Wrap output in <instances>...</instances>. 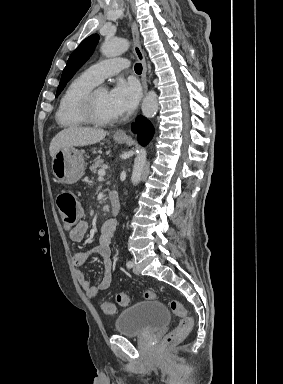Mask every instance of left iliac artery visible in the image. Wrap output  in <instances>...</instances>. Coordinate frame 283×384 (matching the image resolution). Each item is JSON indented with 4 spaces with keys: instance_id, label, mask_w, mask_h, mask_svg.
Returning <instances> with one entry per match:
<instances>
[{
    "instance_id": "44dca946",
    "label": "left iliac artery",
    "mask_w": 283,
    "mask_h": 384,
    "mask_svg": "<svg viewBox=\"0 0 283 384\" xmlns=\"http://www.w3.org/2000/svg\"><path fill=\"white\" fill-rule=\"evenodd\" d=\"M126 266H127L128 268H132L133 263H132L131 261H128V262L126 263Z\"/></svg>"
}]
</instances>
